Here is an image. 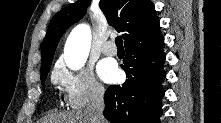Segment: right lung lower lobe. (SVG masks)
Here are the masks:
<instances>
[{
    "mask_svg": "<svg viewBox=\"0 0 221 123\" xmlns=\"http://www.w3.org/2000/svg\"><path fill=\"white\" fill-rule=\"evenodd\" d=\"M164 37L160 31L128 43L123 60L127 80L111 85L105 92L103 115L111 123H160Z\"/></svg>",
    "mask_w": 221,
    "mask_h": 123,
    "instance_id": "right-lung-lower-lobe-1",
    "label": "right lung lower lobe"
}]
</instances>
